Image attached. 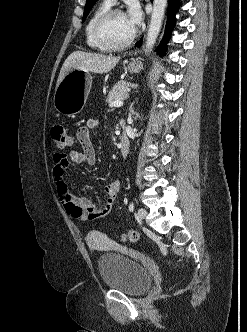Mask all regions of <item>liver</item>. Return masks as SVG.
I'll return each mask as SVG.
<instances>
[{
    "instance_id": "1",
    "label": "liver",
    "mask_w": 247,
    "mask_h": 332,
    "mask_svg": "<svg viewBox=\"0 0 247 332\" xmlns=\"http://www.w3.org/2000/svg\"><path fill=\"white\" fill-rule=\"evenodd\" d=\"M119 60L120 57L75 51L64 61L59 73L56 88L65 75L72 69H83L87 72L103 74L111 71Z\"/></svg>"
}]
</instances>
